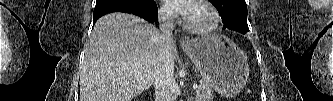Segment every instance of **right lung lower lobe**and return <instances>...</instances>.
I'll return each mask as SVG.
<instances>
[{"mask_svg": "<svg viewBox=\"0 0 333 101\" xmlns=\"http://www.w3.org/2000/svg\"><path fill=\"white\" fill-rule=\"evenodd\" d=\"M112 12L135 14L151 23L157 20V6L154 0H97L93 25L100 17Z\"/></svg>", "mask_w": 333, "mask_h": 101, "instance_id": "obj_1", "label": "right lung lower lobe"}]
</instances>
